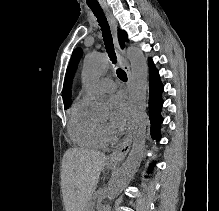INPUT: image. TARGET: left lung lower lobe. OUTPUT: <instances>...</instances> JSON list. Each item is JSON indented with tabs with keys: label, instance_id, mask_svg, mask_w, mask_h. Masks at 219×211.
<instances>
[{
	"label": "left lung lower lobe",
	"instance_id": "left-lung-lower-lobe-1",
	"mask_svg": "<svg viewBox=\"0 0 219 211\" xmlns=\"http://www.w3.org/2000/svg\"><path fill=\"white\" fill-rule=\"evenodd\" d=\"M150 68V99H149V116L151 121V134L155 139H159V129L162 123L161 107L163 101L161 99V92L163 91V85L159 79V73L154 67L151 59H149Z\"/></svg>",
	"mask_w": 219,
	"mask_h": 211
}]
</instances>
